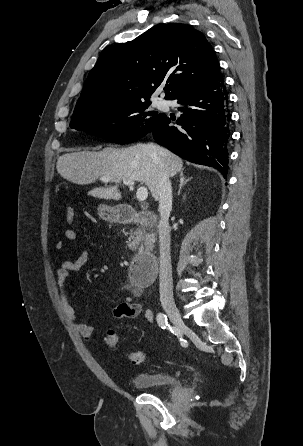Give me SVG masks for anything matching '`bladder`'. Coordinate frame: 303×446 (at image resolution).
<instances>
[{
    "instance_id": "obj_1",
    "label": "bladder",
    "mask_w": 303,
    "mask_h": 446,
    "mask_svg": "<svg viewBox=\"0 0 303 446\" xmlns=\"http://www.w3.org/2000/svg\"><path fill=\"white\" fill-rule=\"evenodd\" d=\"M132 385L138 389L158 390L181 384L178 375L170 371L151 370L135 374Z\"/></svg>"
}]
</instances>
